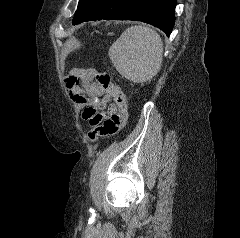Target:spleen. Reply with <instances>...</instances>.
Returning a JSON list of instances; mask_svg holds the SVG:
<instances>
[{"instance_id":"3e777b00","label":"spleen","mask_w":240,"mask_h":238,"mask_svg":"<svg viewBox=\"0 0 240 238\" xmlns=\"http://www.w3.org/2000/svg\"><path fill=\"white\" fill-rule=\"evenodd\" d=\"M109 57L116 70L126 79L148 81L161 69L162 39L148 26H132L111 45Z\"/></svg>"}]
</instances>
